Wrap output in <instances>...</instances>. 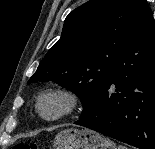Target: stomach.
Masks as SVG:
<instances>
[{"instance_id":"1","label":"stomach","mask_w":155,"mask_h":149,"mask_svg":"<svg viewBox=\"0 0 155 149\" xmlns=\"http://www.w3.org/2000/svg\"><path fill=\"white\" fill-rule=\"evenodd\" d=\"M54 149H117L114 142L90 129L68 128L54 140Z\"/></svg>"}]
</instances>
